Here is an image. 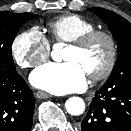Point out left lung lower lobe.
Listing matches in <instances>:
<instances>
[{
	"label": "left lung lower lobe",
	"mask_w": 131,
	"mask_h": 131,
	"mask_svg": "<svg viewBox=\"0 0 131 131\" xmlns=\"http://www.w3.org/2000/svg\"><path fill=\"white\" fill-rule=\"evenodd\" d=\"M79 131H131V85L104 84L93 98Z\"/></svg>",
	"instance_id": "0a47b994"
}]
</instances>
